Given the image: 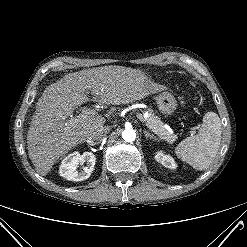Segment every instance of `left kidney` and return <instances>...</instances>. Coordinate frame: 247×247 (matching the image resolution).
I'll list each match as a JSON object with an SVG mask.
<instances>
[{"mask_svg": "<svg viewBox=\"0 0 247 247\" xmlns=\"http://www.w3.org/2000/svg\"><path fill=\"white\" fill-rule=\"evenodd\" d=\"M155 159L157 162H159L160 164H162L166 168L176 169V167H177L174 159L169 155L163 154L162 151H158L156 153Z\"/></svg>", "mask_w": 247, "mask_h": 247, "instance_id": "left-kidney-1", "label": "left kidney"}]
</instances>
